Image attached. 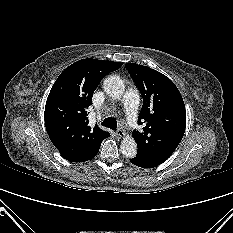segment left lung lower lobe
<instances>
[{"label": "left lung lower lobe", "instance_id": "obj_1", "mask_svg": "<svg viewBox=\"0 0 233 233\" xmlns=\"http://www.w3.org/2000/svg\"><path fill=\"white\" fill-rule=\"evenodd\" d=\"M130 162L136 166L142 167V168H153L155 166L151 165L150 163L138 158L134 157L130 159Z\"/></svg>", "mask_w": 233, "mask_h": 233}]
</instances>
